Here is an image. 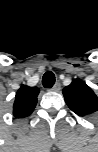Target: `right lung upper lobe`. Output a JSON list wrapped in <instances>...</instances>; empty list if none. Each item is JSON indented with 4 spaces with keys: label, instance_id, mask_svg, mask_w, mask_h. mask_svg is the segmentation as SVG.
Returning a JSON list of instances; mask_svg holds the SVG:
<instances>
[{
    "label": "right lung upper lobe",
    "instance_id": "cb5924a9",
    "mask_svg": "<svg viewBox=\"0 0 98 152\" xmlns=\"http://www.w3.org/2000/svg\"><path fill=\"white\" fill-rule=\"evenodd\" d=\"M39 88L22 85L17 91L13 105V115L16 118H25L29 116L36 104Z\"/></svg>",
    "mask_w": 98,
    "mask_h": 152
}]
</instances>
